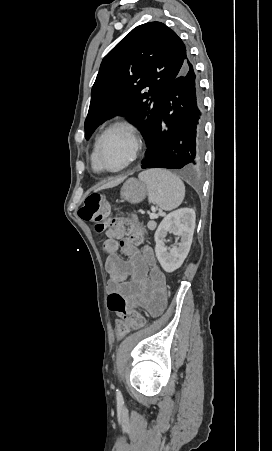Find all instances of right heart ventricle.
I'll use <instances>...</instances> for the list:
<instances>
[{"label":"right heart ventricle","mask_w":272,"mask_h":451,"mask_svg":"<svg viewBox=\"0 0 272 451\" xmlns=\"http://www.w3.org/2000/svg\"><path fill=\"white\" fill-rule=\"evenodd\" d=\"M91 160H92V166H93V168L95 169V164H94V153L92 154Z\"/></svg>","instance_id":"e07e8e85"}]
</instances>
